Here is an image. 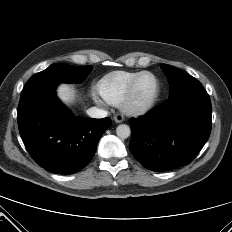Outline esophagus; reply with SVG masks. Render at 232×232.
Returning <instances> with one entry per match:
<instances>
[{
    "label": "esophagus",
    "instance_id": "obj_1",
    "mask_svg": "<svg viewBox=\"0 0 232 232\" xmlns=\"http://www.w3.org/2000/svg\"><path fill=\"white\" fill-rule=\"evenodd\" d=\"M113 119H114V121H115L116 123H121V122L124 121V117H123L122 115H120V114L115 115V116L113 117Z\"/></svg>",
    "mask_w": 232,
    "mask_h": 232
}]
</instances>
